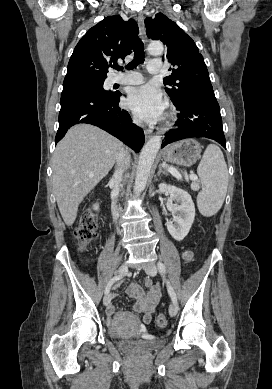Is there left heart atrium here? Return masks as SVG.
<instances>
[{
    "label": "left heart atrium",
    "mask_w": 272,
    "mask_h": 389,
    "mask_svg": "<svg viewBox=\"0 0 272 389\" xmlns=\"http://www.w3.org/2000/svg\"><path fill=\"white\" fill-rule=\"evenodd\" d=\"M126 106L139 118L147 122L161 119L166 108L162 93L153 85H143L130 91Z\"/></svg>",
    "instance_id": "obj_1"
}]
</instances>
